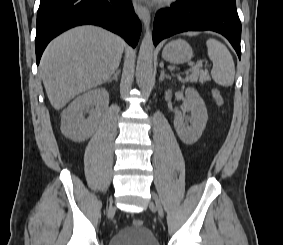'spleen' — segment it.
Segmentation results:
<instances>
[{"label": "spleen", "mask_w": 283, "mask_h": 245, "mask_svg": "<svg viewBox=\"0 0 283 245\" xmlns=\"http://www.w3.org/2000/svg\"><path fill=\"white\" fill-rule=\"evenodd\" d=\"M208 57L213 63L211 76L221 86L229 87L234 83L235 65L227 47L220 41L210 38L206 41Z\"/></svg>", "instance_id": "spleen-1"}]
</instances>
